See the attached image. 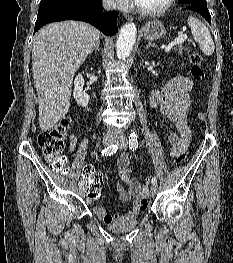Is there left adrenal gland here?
<instances>
[{"label": "left adrenal gland", "instance_id": "obj_1", "mask_svg": "<svg viewBox=\"0 0 233 263\" xmlns=\"http://www.w3.org/2000/svg\"><path fill=\"white\" fill-rule=\"evenodd\" d=\"M149 47L157 48V46L154 43H151V41H148L146 49L149 48Z\"/></svg>", "mask_w": 233, "mask_h": 263}]
</instances>
